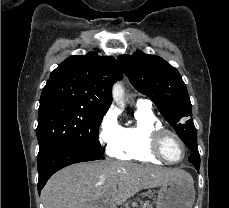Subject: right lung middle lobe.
Returning <instances> with one entry per match:
<instances>
[{
    "label": "right lung middle lobe",
    "mask_w": 229,
    "mask_h": 208,
    "mask_svg": "<svg viewBox=\"0 0 229 208\" xmlns=\"http://www.w3.org/2000/svg\"><path fill=\"white\" fill-rule=\"evenodd\" d=\"M103 116L85 107L67 101L40 103L38 110L37 139L38 158L51 149L75 144L102 153L98 131Z\"/></svg>",
    "instance_id": "obj_1"
}]
</instances>
